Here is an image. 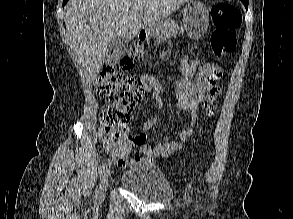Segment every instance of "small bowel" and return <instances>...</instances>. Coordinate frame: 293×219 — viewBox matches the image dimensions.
<instances>
[{"label": "small bowel", "mask_w": 293, "mask_h": 219, "mask_svg": "<svg viewBox=\"0 0 293 219\" xmlns=\"http://www.w3.org/2000/svg\"><path fill=\"white\" fill-rule=\"evenodd\" d=\"M180 70L183 77L177 84L175 106L180 112L190 114V127L182 132L173 131L165 136L162 142L150 146L147 144V135L144 133L132 135L128 128H126L110 134L101 126L98 129V135L103 148L117 165H130L133 167L147 165L157 157H165L168 154L179 152L183 147V143L188 141L194 134L198 121V107L201 106L208 115L213 113V103L220 92L218 87L220 78H214L211 72L199 71L198 63L190 62L188 56L183 58ZM194 76L196 77L195 82L192 81ZM142 83L145 91L161 104L160 95L164 93L162 86L148 76L143 77ZM159 120V117H154L145 121L143 129L145 131L154 129ZM178 135L181 141L174 140ZM132 147L138 148L142 155H137L128 160L127 157Z\"/></svg>", "instance_id": "c3829d8e"}]
</instances>
